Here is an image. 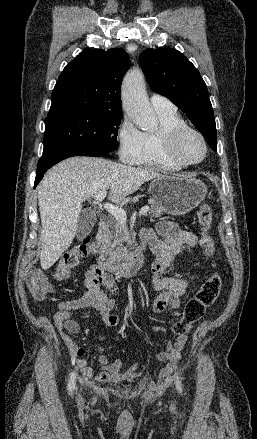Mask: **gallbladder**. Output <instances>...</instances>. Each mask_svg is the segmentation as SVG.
Masks as SVG:
<instances>
[{"label": "gallbladder", "mask_w": 257, "mask_h": 439, "mask_svg": "<svg viewBox=\"0 0 257 439\" xmlns=\"http://www.w3.org/2000/svg\"><path fill=\"white\" fill-rule=\"evenodd\" d=\"M96 222V216L90 209H84L81 211L78 218L77 237L81 239L85 235L91 232Z\"/></svg>", "instance_id": "obj_1"}]
</instances>
